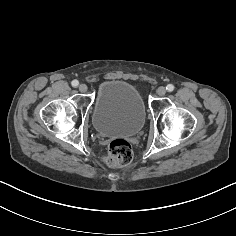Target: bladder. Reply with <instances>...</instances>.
Wrapping results in <instances>:
<instances>
[{"label": "bladder", "instance_id": "obj_1", "mask_svg": "<svg viewBox=\"0 0 236 236\" xmlns=\"http://www.w3.org/2000/svg\"><path fill=\"white\" fill-rule=\"evenodd\" d=\"M145 105L138 89L124 81H106L99 85L92 122L103 136H134L145 124Z\"/></svg>", "mask_w": 236, "mask_h": 236}]
</instances>
